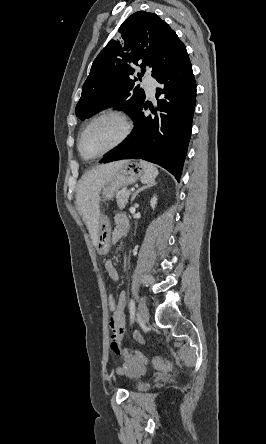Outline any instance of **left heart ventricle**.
<instances>
[{
    "label": "left heart ventricle",
    "mask_w": 266,
    "mask_h": 444,
    "mask_svg": "<svg viewBox=\"0 0 266 444\" xmlns=\"http://www.w3.org/2000/svg\"><path fill=\"white\" fill-rule=\"evenodd\" d=\"M122 128L113 118H103L93 123L85 132L82 148L87 156H94L109 148L120 136Z\"/></svg>",
    "instance_id": "1"
}]
</instances>
